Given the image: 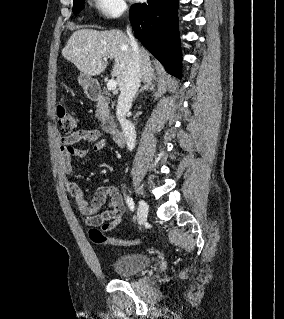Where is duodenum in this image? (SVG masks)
Returning <instances> with one entry per match:
<instances>
[{"instance_id":"410a0bca","label":"duodenum","mask_w":284,"mask_h":319,"mask_svg":"<svg viewBox=\"0 0 284 319\" xmlns=\"http://www.w3.org/2000/svg\"><path fill=\"white\" fill-rule=\"evenodd\" d=\"M88 95L89 97L97 102L103 103L106 101V97L101 93L100 90H98L95 87H90L88 89ZM101 127L102 129L111 134L113 137V140L115 141V143L119 146L124 144V135L123 133L119 130V128L117 127L116 123L114 122V120L110 117H105L102 119L101 121Z\"/></svg>"}]
</instances>
